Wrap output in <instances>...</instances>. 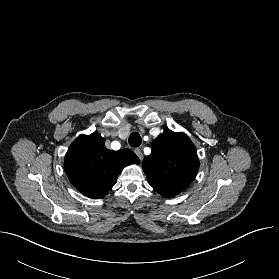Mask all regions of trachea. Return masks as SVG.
<instances>
[{"label": "trachea", "instance_id": "1", "mask_svg": "<svg viewBox=\"0 0 279 279\" xmlns=\"http://www.w3.org/2000/svg\"><path fill=\"white\" fill-rule=\"evenodd\" d=\"M130 146L139 147L142 143L141 136L137 132H133L128 139Z\"/></svg>", "mask_w": 279, "mask_h": 279}]
</instances>
